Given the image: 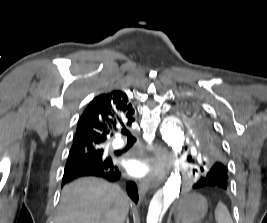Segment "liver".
<instances>
[{"mask_svg": "<svg viewBox=\"0 0 267 223\" xmlns=\"http://www.w3.org/2000/svg\"><path fill=\"white\" fill-rule=\"evenodd\" d=\"M129 198L117 185L82 178L65 186L55 223H124Z\"/></svg>", "mask_w": 267, "mask_h": 223, "instance_id": "liver-1", "label": "liver"}]
</instances>
